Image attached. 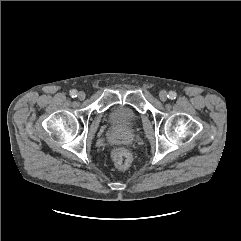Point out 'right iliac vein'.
<instances>
[{
    "mask_svg": "<svg viewBox=\"0 0 241 241\" xmlns=\"http://www.w3.org/2000/svg\"><path fill=\"white\" fill-rule=\"evenodd\" d=\"M85 93L83 92V91H80L79 93H78V98L80 99V100H84L85 99Z\"/></svg>",
    "mask_w": 241,
    "mask_h": 241,
    "instance_id": "1",
    "label": "right iliac vein"
}]
</instances>
